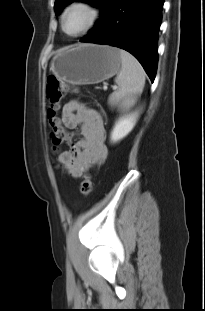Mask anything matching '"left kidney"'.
<instances>
[{"mask_svg":"<svg viewBox=\"0 0 205 311\" xmlns=\"http://www.w3.org/2000/svg\"><path fill=\"white\" fill-rule=\"evenodd\" d=\"M138 112H134L125 116L120 117L111 132L110 139L111 142L116 143L123 138H125L134 128L137 119H138Z\"/></svg>","mask_w":205,"mask_h":311,"instance_id":"5707ae66","label":"left kidney"}]
</instances>
